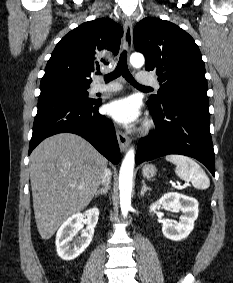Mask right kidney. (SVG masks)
<instances>
[{"label":"right kidney","instance_id":"obj_1","mask_svg":"<svg viewBox=\"0 0 233 283\" xmlns=\"http://www.w3.org/2000/svg\"><path fill=\"white\" fill-rule=\"evenodd\" d=\"M99 210L92 208L85 213H76L69 217L58 229L56 234L57 254L66 261L77 258L89 246L94 236V228L98 222ZM83 223L87 226L82 230L81 236L71 244L73 237L82 228Z\"/></svg>","mask_w":233,"mask_h":283}]
</instances>
